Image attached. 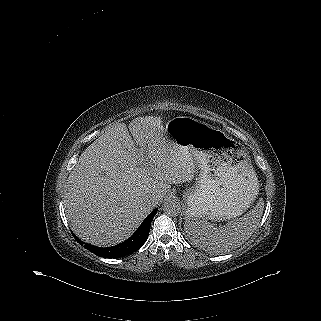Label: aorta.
<instances>
[{
	"label": "aorta",
	"instance_id": "762f6f07",
	"mask_svg": "<svg viewBox=\"0 0 321 321\" xmlns=\"http://www.w3.org/2000/svg\"><path fill=\"white\" fill-rule=\"evenodd\" d=\"M163 211L170 216H177L181 212V204L175 198H168L164 201Z\"/></svg>",
	"mask_w": 321,
	"mask_h": 321
}]
</instances>
